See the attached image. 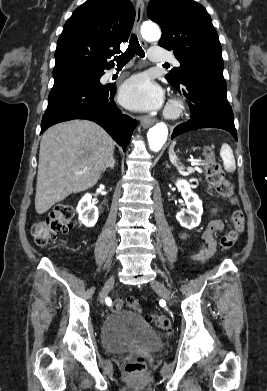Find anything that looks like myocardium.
<instances>
[{
	"mask_svg": "<svg viewBox=\"0 0 267 391\" xmlns=\"http://www.w3.org/2000/svg\"><path fill=\"white\" fill-rule=\"evenodd\" d=\"M184 112V105L181 101L173 99L169 102L165 110V116L169 119H177Z\"/></svg>",
	"mask_w": 267,
	"mask_h": 391,
	"instance_id": "1",
	"label": "myocardium"
}]
</instances>
